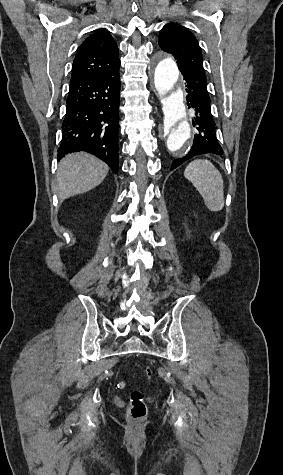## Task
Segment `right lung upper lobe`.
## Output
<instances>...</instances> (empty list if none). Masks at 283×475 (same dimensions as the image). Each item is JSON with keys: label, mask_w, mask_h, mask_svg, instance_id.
Masks as SVG:
<instances>
[{"label": "right lung upper lobe", "mask_w": 283, "mask_h": 475, "mask_svg": "<svg viewBox=\"0 0 283 475\" xmlns=\"http://www.w3.org/2000/svg\"><path fill=\"white\" fill-rule=\"evenodd\" d=\"M118 47L106 29L91 34L78 48L71 79L101 77L119 70Z\"/></svg>", "instance_id": "cb5924a9"}]
</instances>
